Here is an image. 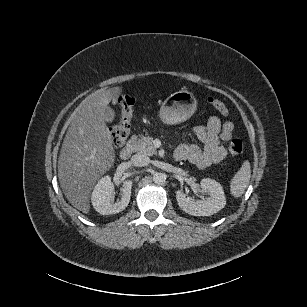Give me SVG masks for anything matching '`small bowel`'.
<instances>
[{"mask_svg":"<svg viewBox=\"0 0 307 307\" xmlns=\"http://www.w3.org/2000/svg\"><path fill=\"white\" fill-rule=\"evenodd\" d=\"M234 124L231 121L222 122L217 116H211L206 125L196 126L193 133L203 144H181L175 150L177 160H187L199 168L218 164L227 156L226 145L233 137Z\"/></svg>","mask_w":307,"mask_h":307,"instance_id":"small-bowel-1","label":"small bowel"}]
</instances>
